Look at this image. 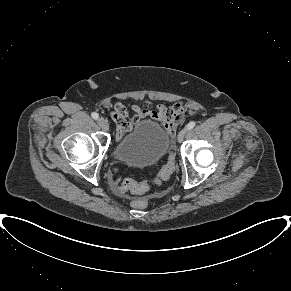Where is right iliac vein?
<instances>
[{
  "instance_id": "obj_1",
  "label": "right iliac vein",
  "mask_w": 291,
  "mask_h": 291,
  "mask_svg": "<svg viewBox=\"0 0 291 291\" xmlns=\"http://www.w3.org/2000/svg\"><path fill=\"white\" fill-rule=\"evenodd\" d=\"M97 123L103 130H107L109 128L108 121L104 118H99Z\"/></svg>"
}]
</instances>
